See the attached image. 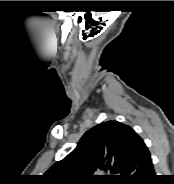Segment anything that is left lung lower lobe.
Wrapping results in <instances>:
<instances>
[{"mask_svg":"<svg viewBox=\"0 0 174 184\" xmlns=\"http://www.w3.org/2000/svg\"><path fill=\"white\" fill-rule=\"evenodd\" d=\"M154 179L150 153L143 140H139L126 169L123 182L128 184H149Z\"/></svg>","mask_w":174,"mask_h":184,"instance_id":"0a47b994","label":"left lung lower lobe"}]
</instances>
